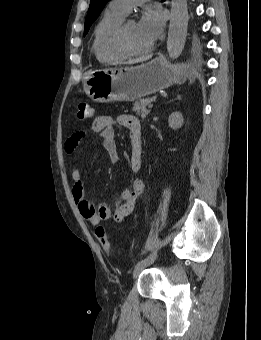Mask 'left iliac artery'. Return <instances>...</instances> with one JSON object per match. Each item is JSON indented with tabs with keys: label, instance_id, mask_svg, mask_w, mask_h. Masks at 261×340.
<instances>
[{
	"label": "left iliac artery",
	"instance_id": "obj_1",
	"mask_svg": "<svg viewBox=\"0 0 261 340\" xmlns=\"http://www.w3.org/2000/svg\"><path fill=\"white\" fill-rule=\"evenodd\" d=\"M157 257V251H152L149 255L145 256L144 258H142L141 260H139L136 264V266L138 265H144V264H149L151 262H153Z\"/></svg>",
	"mask_w": 261,
	"mask_h": 340
}]
</instances>
